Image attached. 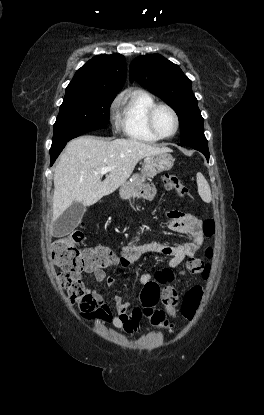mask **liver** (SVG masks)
<instances>
[{
  "instance_id": "1",
  "label": "liver",
  "mask_w": 264,
  "mask_h": 415,
  "mask_svg": "<svg viewBox=\"0 0 264 415\" xmlns=\"http://www.w3.org/2000/svg\"><path fill=\"white\" fill-rule=\"evenodd\" d=\"M135 139L107 141L81 136L70 141L54 171L52 222H55L73 202L91 206L126 183L136 164L143 158L169 152ZM113 168L101 181L99 171Z\"/></svg>"
}]
</instances>
